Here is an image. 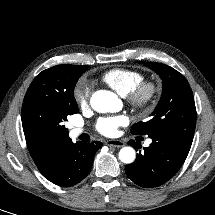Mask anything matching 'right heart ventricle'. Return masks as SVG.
I'll return each mask as SVG.
<instances>
[{
	"instance_id": "obj_1",
	"label": "right heart ventricle",
	"mask_w": 215,
	"mask_h": 215,
	"mask_svg": "<svg viewBox=\"0 0 215 215\" xmlns=\"http://www.w3.org/2000/svg\"><path fill=\"white\" fill-rule=\"evenodd\" d=\"M143 78L142 72L128 68H113L101 76V80L105 84L122 96H125Z\"/></svg>"
}]
</instances>
